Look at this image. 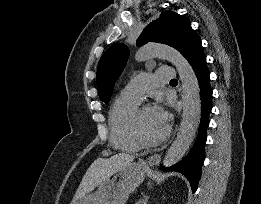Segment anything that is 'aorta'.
Returning <instances> with one entry per match:
<instances>
[{"label": "aorta", "instance_id": "obj_1", "mask_svg": "<svg viewBox=\"0 0 261 204\" xmlns=\"http://www.w3.org/2000/svg\"><path fill=\"white\" fill-rule=\"evenodd\" d=\"M154 57L165 59L175 66L182 86V121L177 136L163 160V165L170 167L183 158L196 135L201 118L200 88L192 66L176 49L149 43L140 48L135 55L138 61Z\"/></svg>", "mask_w": 261, "mask_h": 204}]
</instances>
